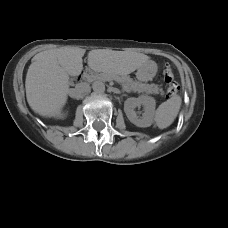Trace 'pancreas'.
Masks as SVG:
<instances>
[{
  "mask_svg": "<svg viewBox=\"0 0 228 228\" xmlns=\"http://www.w3.org/2000/svg\"><path fill=\"white\" fill-rule=\"evenodd\" d=\"M114 79L122 85V87L128 92H138L147 94H163L162 88H159L155 84H145L138 81H133L128 76H106L104 74L92 75L88 77L89 81H107Z\"/></svg>",
  "mask_w": 228,
  "mask_h": 228,
  "instance_id": "pancreas-1",
  "label": "pancreas"
}]
</instances>
